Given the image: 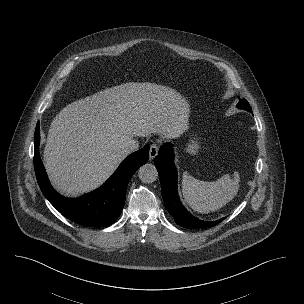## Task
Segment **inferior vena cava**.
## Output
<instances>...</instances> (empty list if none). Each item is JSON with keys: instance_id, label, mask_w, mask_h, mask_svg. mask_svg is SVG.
<instances>
[{"instance_id": "1", "label": "inferior vena cava", "mask_w": 304, "mask_h": 304, "mask_svg": "<svg viewBox=\"0 0 304 304\" xmlns=\"http://www.w3.org/2000/svg\"><path fill=\"white\" fill-rule=\"evenodd\" d=\"M138 148L139 144L133 139H130L125 143V149L128 153L134 152L138 150Z\"/></svg>"}]
</instances>
